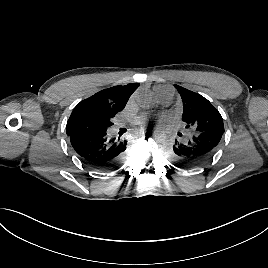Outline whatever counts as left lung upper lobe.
<instances>
[{
    "instance_id": "1",
    "label": "left lung upper lobe",
    "mask_w": 268,
    "mask_h": 268,
    "mask_svg": "<svg viewBox=\"0 0 268 268\" xmlns=\"http://www.w3.org/2000/svg\"><path fill=\"white\" fill-rule=\"evenodd\" d=\"M183 102L182 121L193 133L220 131L224 133L223 119L219 111L203 96L174 85Z\"/></svg>"
}]
</instances>
